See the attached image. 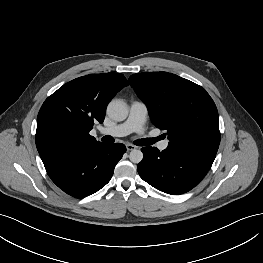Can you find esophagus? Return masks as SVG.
Here are the masks:
<instances>
[{
  "label": "esophagus",
  "mask_w": 263,
  "mask_h": 263,
  "mask_svg": "<svg viewBox=\"0 0 263 263\" xmlns=\"http://www.w3.org/2000/svg\"><path fill=\"white\" fill-rule=\"evenodd\" d=\"M137 147L133 144H127L126 145V149L127 151H132V150H135Z\"/></svg>",
  "instance_id": "34e87169"
}]
</instances>
